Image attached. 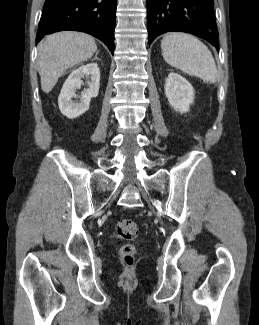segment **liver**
I'll return each mask as SVG.
<instances>
[{"label":"liver","mask_w":259,"mask_h":325,"mask_svg":"<svg viewBox=\"0 0 259 325\" xmlns=\"http://www.w3.org/2000/svg\"><path fill=\"white\" fill-rule=\"evenodd\" d=\"M96 50L95 40L85 33L63 31L47 36L38 46L42 90L49 93L68 68L87 61Z\"/></svg>","instance_id":"obj_1"}]
</instances>
